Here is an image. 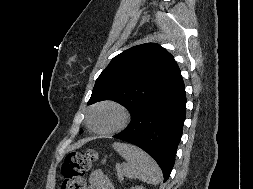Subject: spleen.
<instances>
[{
	"label": "spleen",
	"mask_w": 253,
	"mask_h": 189,
	"mask_svg": "<svg viewBox=\"0 0 253 189\" xmlns=\"http://www.w3.org/2000/svg\"><path fill=\"white\" fill-rule=\"evenodd\" d=\"M113 148L127 160L122 173L131 179H139L152 185L160 183L162 172L155 160L137 146L114 142Z\"/></svg>",
	"instance_id": "1"
}]
</instances>
